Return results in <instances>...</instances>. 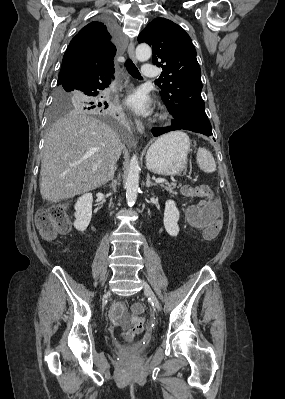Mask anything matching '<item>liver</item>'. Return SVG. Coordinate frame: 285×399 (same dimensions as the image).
<instances>
[{
    "mask_svg": "<svg viewBox=\"0 0 285 399\" xmlns=\"http://www.w3.org/2000/svg\"><path fill=\"white\" fill-rule=\"evenodd\" d=\"M121 151V140L111 127L71 111L52 125L46 137L40 171L42 198L57 203L106 184Z\"/></svg>",
    "mask_w": 285,
    "mask_h": 399,
    "instance_id": "1",
    "label": "liver"
}]
</instances>
